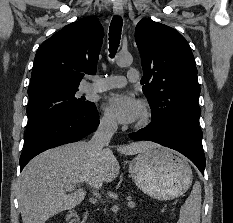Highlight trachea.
Here are the masks:
<instances>
[{
  "label": "trachea",
  "instance_id": "obj_1",
  "mask_svg": "<svg viewBox=\"0 0 233 223\" xmlns=\"http://www.w3.org/2000/svg\"><path fill=\"white\" fill-rule=\"evenodd\" d=\"M123 20L121 16H114L109 27V52L110 58H114L119 47Z\"/></svg>",
  "mask_w": 233,
  "mask_h": 223
}]
</instances>
